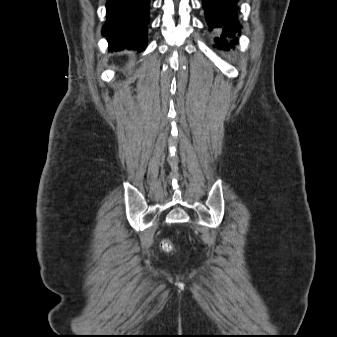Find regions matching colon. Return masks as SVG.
Wrapping results in <instances>:
<instances>
[{"instance_id":"obj_1","label":"colon","mask_w":337,"mask_h":337,"mask_svg":"<svg viewBox=\"0 0 337 337\" xmlns=\"http://www.w3.org/2000/svg\"><path fill=\"white\" fill-rule=\"evenodd\" d=\"M161 248L164 250V251H172L173 250V243L169 240V239H163L161 241Z\"/></svg>"}]
</instances>
